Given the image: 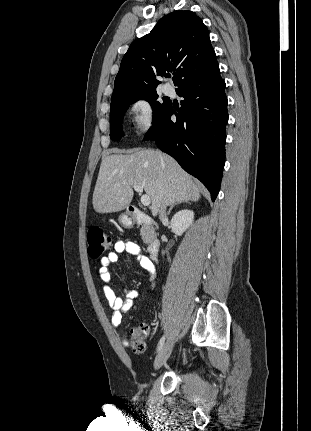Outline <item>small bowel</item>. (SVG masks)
I'll return each mask as SVG.
<instances>
[{
	"label": "small bowel",
	"instance_id": "small-bowel-1",
	"mask_svg": "<svg viewBox=\"0 0 311 431\" xmlns=\"http://www.w3.org/2000/svg\"><path fill=\"white\" fill-rule=\"evenodd\" d=\"M124 252L129 254L136 262H138L149 277L152 278L155 271L152 261L141 252L138 244L131 241L116 242L114 251L101 258L99 276L102 281L103 293L113 310L111 322L116 328L121 326L123 315L130 312L135 300L139 297V292L135 289H126L124 291V298L118 297L111 285V272L109 266L118 260L119 254ZM122 343L123 345L128 346V340L123 339Z\"/></svg>",
	"mask_w": 311,
	"mask_h": 431
}]
</instances>
